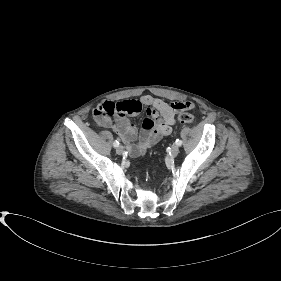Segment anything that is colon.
<instances>
[{
  "label": "colon",
  "instance_id": "1",
  "mask_svg": "<svg viewBox=\"0 0 281 281\" xmlns=\"http://www.w3.org/2000/svg\"><path fill=\"white\" fill-rule=\"evenodd\" d=\"M141 106L137 102H133L130 105H127L124 102L120 103H110L106 104L95 111V117L100 122H107L113 116L123 115L124 112L128 114L141 111ZM178 121L184 125H191L194 122V118L190 113L182 112L178 115Z\"/></svg>",
  "mask_w": 281,
  "mask_h": 281
}]
</instances>
